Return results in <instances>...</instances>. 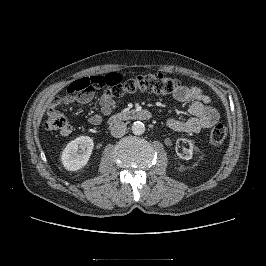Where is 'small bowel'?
Returning a JSON list of instances; mask_svg holds the SVG:
<instances>
[{"instance_id":"obj_1","label":"small bowel","mask_w":266,"mask_h":266,"mask_svg":"<svg viewBox=\"0 0 266 266\" xmlns=\"http://www.w3.org/2000/svg\"><path fill=\"white\" fill-rule=\"evenodd\" d=\"M175 100L189 103L190 117L185 120L169 119L167 125L174 131L197 133L209 129L219 120L218 111L211 105V99L197 86L181 85L174 92ZM94 93L88 92L76 96H64L54 100L56 105L72 103L86 104L93 100ZM100 111L89 118L90 124L99 125L103 117L109 115L116 106V100L109 92H104L99 98Z\"/></svg>"}]
</instances>
